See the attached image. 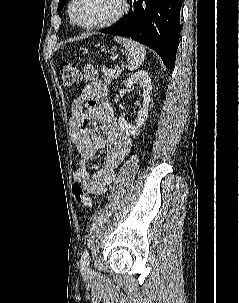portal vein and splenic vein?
Wrapping results in <instances>:
<instances>
[{
  "label": "portal vein and splenic vein",
  "instance_id": "18ae733b",
  "mask_svg": "<svg viewBox=\"0 0 239 303\" xmlns=\"http://www.w3.org/2000/svg\"><path fill=\"white\" fill-rule=\"evenodd\" d=\"M120 68L119 67H115V72H119Z\"/></svg>",
  "mask_w": 239,
  "mask_h": 303
}]
</instances>
